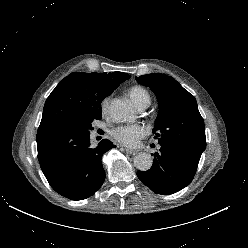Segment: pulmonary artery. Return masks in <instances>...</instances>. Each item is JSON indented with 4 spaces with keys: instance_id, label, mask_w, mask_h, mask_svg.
Segmentation results:
<instances>
[{
    "instance_id": "pulmonary-artery-1",
    "label": "pulmonary artery",
    "mask_w": 248,
    "mask_h": 248,
    "mask_svg": "<svg viewBox=\"0 0 248 248\" xmlns=\"http://www.w3.org/2000/svg\"><path fill=\"white\" fill-rule=\"evenodd\" d=\"M148 106H149L148 104H142V105L138 106V109H139L140 111H143V110H145Z\"/></svg>"
}]
</instances>
